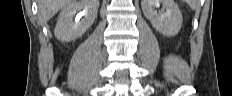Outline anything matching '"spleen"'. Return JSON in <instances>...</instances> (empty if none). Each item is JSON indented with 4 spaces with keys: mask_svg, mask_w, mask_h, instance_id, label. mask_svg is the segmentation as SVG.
Returning a JSON list of instances; mask_svg holds the SVG:
<instances>
[{
    "mask_svg": "<svg viewBox=\"0 0 232 96\" xmlns=\"http://www.w3.org/2000/svg\"><path fill=\"white\" fill-rule=\"evenodd\" d=\"M188 5L191 7V9L195 10L198 6V1L197 0H187L186 1Z\"/></svg>",
    "mask_w": 232,
    "mask_h": 96,
    "instance_id": "spleen-1",
    "label": "spleen"
}]
</instances>
